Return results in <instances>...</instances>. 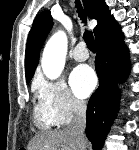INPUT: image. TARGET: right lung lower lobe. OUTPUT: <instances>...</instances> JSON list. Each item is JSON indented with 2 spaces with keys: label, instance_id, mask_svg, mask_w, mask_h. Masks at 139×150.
Instances as JSON below:
<instances>
[{
  "label": "right lung lower lobe",
  "instance_id": "1",
  "mask_svg": "<svg viewBox=\"0 0 139 150\" xmlns=\"http://www.w3.org/2000/svg\"><path fill=\"white\" fill-rule=\"evenodd\" d=\"M95 41L98 48L95 65L100 85L88 102L86 136L94 150H101L118 108L116 85L128 75L130 63L121 30L113 17L97 33Z\"/></svg>",
  "mask_w": 139,
  "mask_h": 150
}]
</instances>
